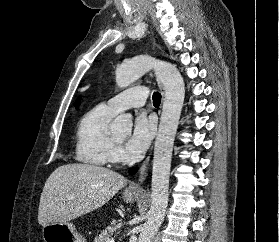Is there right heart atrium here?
<instances>
[{"mask_svg":"<svg viewBox=\"0 0 279 242\" xmlns=\"http://www.w3.org/2000/svg\"><path fill=\"white\" fill-rule=\"evenodd\" d=\"M124 157V152L121 148H117L116 154H115V160H121Z\"/></svg>","mask_w":279,"mask_h":242,"instance_id":"1","label":"right heart atrium"}]
</instances>
